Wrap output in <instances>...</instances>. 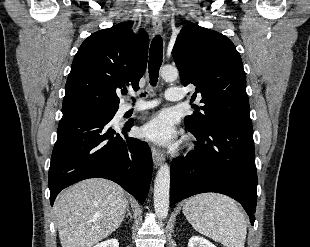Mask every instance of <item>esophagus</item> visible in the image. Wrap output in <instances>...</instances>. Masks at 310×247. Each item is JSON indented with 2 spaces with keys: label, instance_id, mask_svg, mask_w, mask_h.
Instances as JSON below:
<instances>
[{
  "label": "esophagus",
  "instance_id": "obj_1",
  "mask_svg": "<svg viewBox=\"0 0 310 247\" xmlns=\"http://www.w3.org/2000/svg\"><path fill=\"white\" fill-rule=\"evenodd\" d=\"M152 25H153V30L155 31V33L160 34L162 32V29H163L162 22L159 16L153 17ZM151 152H152V158H153L154 165L156 167L160 166L161 163L163 162V154L155 147L151 148Z\"/></svg>",
  "mask_w": 310,
  "mask_h": 247
}]
</instances>
